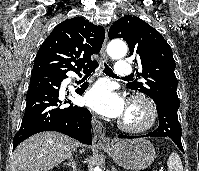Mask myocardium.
Instances as JSON below:
<instances>
[{"label": "myocardium", "mask_w": 199, "mask_h": 171, "mask_svg": "<svg viewBox=\"0 0 199 171\" xmlns=\"http://www.w3.org/2000/svg\"><path fill=\"white\" fill-rule=\"evenodd\" d=\"M135 108L141 114L136 121H131L125 116L119 122V128L128 133H142L149 130L156 122L157 109L153 101L141 94L129 98L127 109Z\"/></svg>", "instance_id": "f54148a6"}]
</instances>
